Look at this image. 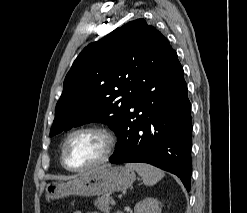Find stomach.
<instances>
[{
	"mask_svg": "<svg viewBox=\"0 0 247 213\" xmlns=\"http://www.w3.org/2000/svg\"><path fill=\"white\" fill-rule=\"evenodd\" d=\"M135 173L123 166H108L76 176L65 183L49 182L45 193L51 200L70 195L100 196L113 191H122L132 185Z\"/></svg>",
	"mask_w": 247,
	"mask_h": 213,
	"instance_id": "0dacf381",
	"label": "stomach"
}]
</instances>
